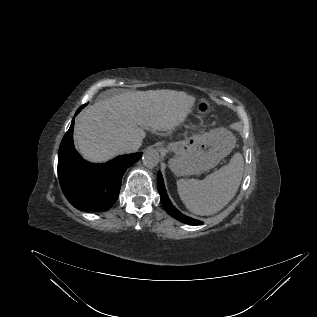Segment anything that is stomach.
<instances>
[{
  "mask_svg": "<svg viewBox=\"0 0 317 317\" xmlns=\"http://www.w3.org/2000/svg\"><path fill=\"white\" fill-rule=\"evenodd\" d=\"M200 106L210 108L202 99ZM236 145L235 136L225 128L212 129L204 134H193L184 140L172 142L167 149L175 153L169 167L177 176L198 175L215 167Z\"/></svg>",
  "mask_w": 317,
  "mask_h": 317,
  "instance_id": "stomach-1",
  "label": "stomach"
}]
</instances>
